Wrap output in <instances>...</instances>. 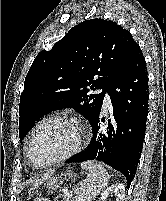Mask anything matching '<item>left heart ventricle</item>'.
Segmentation results:
<instances>
[{
	"instance_id": "1",
	"label": "left heart ventricle",
	"mask_w": 166,
	"mask_h": 201,
	"mask_svg": "<svg viewBox=\"0 0 166 201\" xmlns=\"http://www.w3.org/2000/svg\"><path fill=\"white\" fill-rule=\"evenodd\" d=\"M77 127L65 121H53L44 125L35 136L32 159L42 165L70 151L77 143Z\"/></svg>"
}]
</instances>
